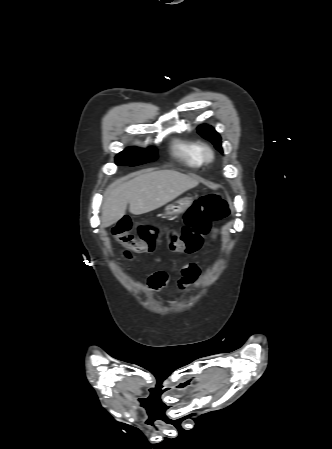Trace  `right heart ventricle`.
I'll list each match as a JSON object with an SVG mask.
<instances>
[{
  "mask_svg": "<svg viewBox=\"0 0 332 449\" xmlns=\"http://www.w3.org/2000/svg\"><path fill=\"white\" fill-rule=\"evenodd\" d=\"M171 149L173 155L185 165L190 167L202 165L198 141L186 137H176L172 140Z\"/></svg>",
  "mask_w": 332,
  "mask_h": 449,
  "instance_id": "obj_1",
  "label": "right heart ventricle"
}]
</instances>
